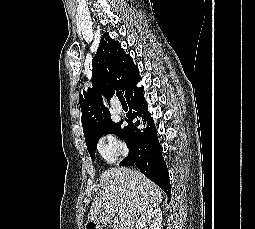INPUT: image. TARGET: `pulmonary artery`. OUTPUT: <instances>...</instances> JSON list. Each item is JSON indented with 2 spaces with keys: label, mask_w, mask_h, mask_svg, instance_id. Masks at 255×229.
I'll use <instances>...</instances> for the list:
<instances>
[{
  "label": "pulmonary artery",
  "mask_w": 255,
  "mask_h": 229,
  "mask_svg": "<svg viewBox=\"0 0 255 229\" xmlns=\"http://www.w3.org/2000/svg\"><path fill=\"white\" fill-rule=\"evenodd\" d=\"M112 109L117 114L123 113V107L118 102H112Z\"/></svg>",
  "instance_id": "pulmonary-artery-1"
}]
</instances>
